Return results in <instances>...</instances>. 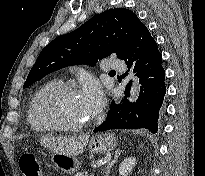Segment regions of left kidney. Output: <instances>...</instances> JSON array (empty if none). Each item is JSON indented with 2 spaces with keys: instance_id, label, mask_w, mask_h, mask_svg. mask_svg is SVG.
<instances>
[{
  "instance_id": "left-kidney-1",
  "label": "left kidney",
  "mask_w": 205,
  "mask_h": 176,
  "mask_svg": "<svg viewBox=\"0 0 205 176\" xmlns=\"http://www.w3.org/2000/svg\"><path fill=\"white\" fill-rule=\"evenodd\" d=\"M136 164V159L133 157H128L124 159L119 166V175L127 176L132 172L133 167Z\"/></svg>"
}]
</instances>
